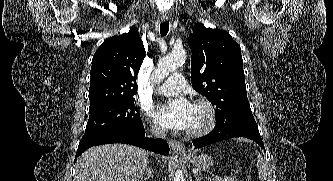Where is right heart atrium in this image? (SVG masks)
Listing matches in <instances>:
<instances>
[{
	"label": "right heart atrium",
	"instance_id": "right-heart-atrium-1",
	"mask_svg": "<svg viewBox=\"0 0 333 181\" xmlns=\"http://www.w3.org/2000/svg\"><path fill=\"white\" fill-rule=\"evenodd\" d=\"M150 129L155 135H162L164 133V129L157 123L151 124Z\"/></svg>",
	"mask_w": 333,
	"mask_h": 181
}]
</instances>
